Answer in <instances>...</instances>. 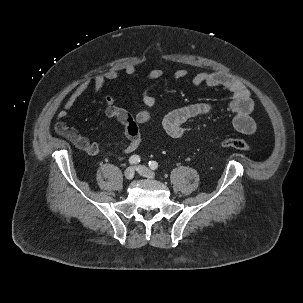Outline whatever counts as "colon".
<instances>
[{
    "mask_svg": "<svg viewBox=\"0 0 303 303\" xmlns=\"http://www.w3.org/2000/svg\"><path fill=\"white\" fill-rule=\"evenodd\" d=\"M221 145L224 147H231L238 150L248 151L251 150V146L242 139L225 137L221 140Z\"/></svg>",
    "mask_w": 303,
    "mask_h": 303,
    "instance_id": "1",
    "label": "colon"
}]
</instances>
